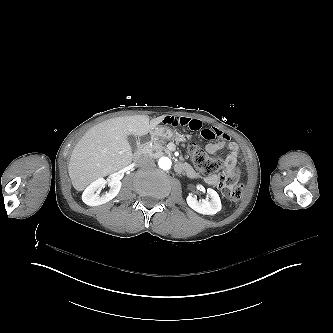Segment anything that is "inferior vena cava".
<instances>
[{
  "instance_id": "1",
  "label": "inferior vena cava",
  "mask_w": 333,
  "mask_h": 333,
  "mask_svg": "<svg viewBox=\"0 0 333 333\" xmlns=\"http://www.w3.org/2000/svg\"><path fill=\"white\" fill-rule=\"evenodd\" d=\"M139 166H153L155 164V161L153 158L148 156H143L138 160Z\"/></svg>"
}]
</instances>
